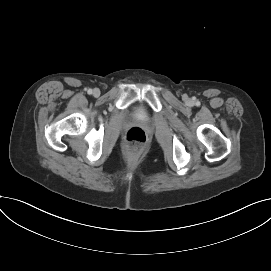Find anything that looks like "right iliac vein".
I'll return each mask as SVG.
<instances>
[{
    "mask_svg": "<svg viewBox=\"0 0 271 271\" xmlns=\"http://www.w3.org/2000/svg\"><path fill=\"white\" fill-rule=\"evenodd\" d=\"M93 95L95 96V97H98L99 95H100V90L99 89H94L93 90Z\"/></svg>",
    "mask_w": 271,
    "mask_h": 271,
    "instance_id": "obj_1",
    "label": "right iliac vein"
}]
</instances>
